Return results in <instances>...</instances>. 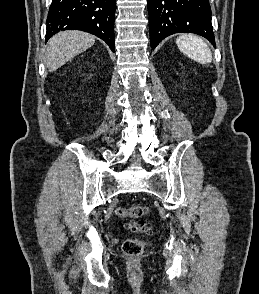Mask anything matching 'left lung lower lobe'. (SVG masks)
<instances>
[{
  "mask_svg": "<svg viewBox=\"0 0 259 294\" xmlns=\"http://www.w3.org/2000/svg\"><path fill=\"white\" fill-rule=\"evenodd\" d=\"M147 5L153 49L167 36L179 32L201 35L215 46L208 0H147Z\"/></svg>",
  "mask_w": 259,
  "mask_h": 294,
  "instance_id": "obj_1",
  "label": "left lung lower lobe"
}]
</instances>
